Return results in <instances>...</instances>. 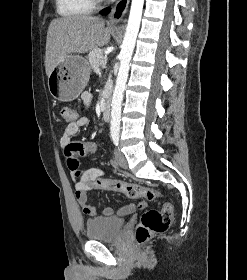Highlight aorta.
<instances>
[{"label":"aorta","instance_id":"1","mask_svg":"<svg viewBox=\"0 0 247 280\" xmlns=\"http://www.w3.org/2000/svg\"><path fill=\"white\" fill-rule=\"evenodd\" d=\"M144 0H132L129 19L120 52V68L116 79V86L112 97L111 135L118 136L121 121V105L123 93L128 78L130 60L135 47L140 28Z\"/></svg>","mask_w":247,"mask_h":280}]
</instances>
